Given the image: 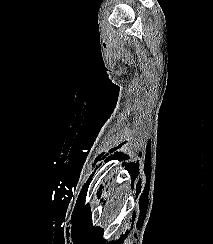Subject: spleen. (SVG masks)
I'll list each match as a JSON object with an SVG mask.
<instances>
[{"mask_svg":"<svg viewBox=\"0 0 213 244\" xmlns=\"http://www.w3.org/2000/svg\"><path fill=\"white\" fill-rule=\"evenodd\" d=\"M127 188L124 186L119 190L118 195H111L108 193V199L106 203L104 213V225L107 226L114 221L124 205V199L126 198Z\"/></svg>","mask_w":213,"mask_h":244,"instance_id":"spleen-1","label":"spleen"}]
</instances>
